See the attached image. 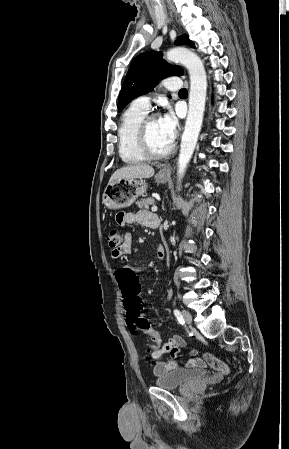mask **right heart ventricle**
<instances>
[{
	"instance_id": "obj_1",
	"label": "right heart ventricle",
	"mask_w": 289,
	"mask_h": 449,
	"mask_svg": "<svg viewBox=\"0 0 289 449\" xmlns=\"http://www.w3.org/2000/svg\"><path fill=\"white\" fill-rule=\"evenodd\" d=\"M147 112L131 105L123 114L118 129L119 155L128 164L144 161L146 158L138 146V130Z\"/></svg>"
}]
</instances>
